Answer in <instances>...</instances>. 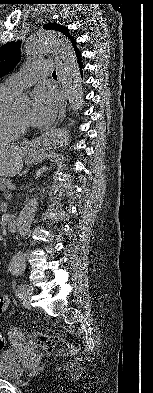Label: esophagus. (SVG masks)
<instances>
[{"label":"esophagus","mask_w":153,"mask_h":393,"mask_svg":"<svg viewBox=\"0 0 153 393\" xmlns=\"http://www.w3.org/2000/svg\"><path fill=\"white\" fill-rule=\"evenodd\" d=\"M66 105H67V101L65 98H63L61 106H60L59 116H58V119H57L55 125H57L58 123H61L64 120L65 115H66ZM38 144H39V140H33L30 145L31 149L35 148Z\"/></svg>","instance_id":"1"}]
</instances>
